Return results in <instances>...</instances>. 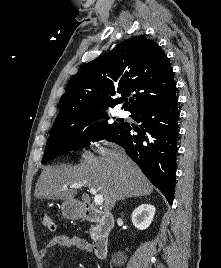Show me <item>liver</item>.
Here are the masks:
<instances>
[{
    "mask_svg": "<svg viewBox=\"0 0 221 268\" xmlns=\"http://www.w3.org/2000/svg\"><path fill=\"white\" fill-rule=\"evenodd\" d=\"M100 154L99 157H93L85 153L82 162L73 167L44 168L35 187V197L75 200L77 189L69 187L82 183L99 191L103 196L104 210L109 212L118 200L153 192L152 183L121 148H101Z\"/></svg>",
    "mask_w": 221,
    "mask_h": 268,
    "instance_id": "obj_1",
    "label": "liver"
}]
</instances>
